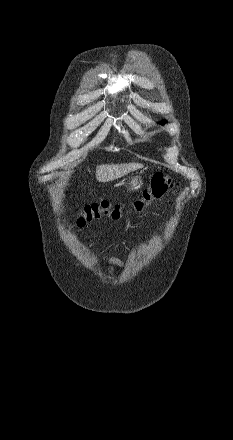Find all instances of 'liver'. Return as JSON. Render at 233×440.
<instances>
[{
  "label": "liver",
  "instance_id": "6515ba94",
  "mask_svg": "<svg viewBox=\"0 0 233 440\" xmlns=\"http://www.w3.org/2000/svg\"><path fill=\"white\" fill-rule=\"evenodd\" d=\"M141 168H143V164L134 162L116 165L103 164L96 167V179L99 182H109Z\"/></svg>",
  "mask_w": 233,
  "mask_h": 440
}]
</instances>
